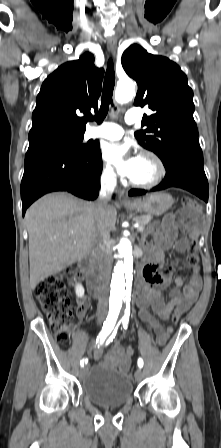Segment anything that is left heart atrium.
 I'll return each mask as SVG.
<instances>
[{"label": "left heart atrium", "mask_w": 221, "mask_h": 448, "mask_svg": "<svg viewBox=\"0 0 221 448\" xmlns=\"http://www.w3.org/2000/svg\"><path fill=\"white\" fill-rule=\"evenodd\" d=\"M104 158L114 164L123 176L131 178L137 172L140 156L134 154L128 144L112 143L103 150Z\"/></svg>", "instance_id": "39dd6f15"}]
</instances>
